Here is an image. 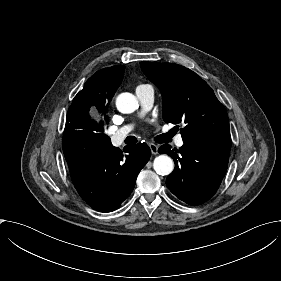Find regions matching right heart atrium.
<instances>
[{
  "mask_svg": "<svg viewBox=\"0 0 281 281\" xmlns=\"http://www.w3.org/2000/svg\"><path fill=\"white\" fill-rule=\"evenodd\" d=\"M119 97H120V96H119ZM119 97L117 98V101H118ZM124 102H125V103L128 102V97H127V96H124Z\"/></svg>",
  "mask_w": 281,
  "mask_h": 281,
  "instance_id": "obj_1",
  "label": "right heart atrium"
}]
</instances>
